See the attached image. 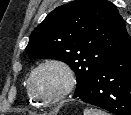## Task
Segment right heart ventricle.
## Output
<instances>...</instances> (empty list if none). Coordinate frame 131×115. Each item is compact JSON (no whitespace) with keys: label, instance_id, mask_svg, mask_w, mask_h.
Returning <instances> with one entry per match:
<instances>
[{"label":"right heart ventricle","instance_id":"obj_1","mask_svg":"<svg viewBox=\"0 0 131 115\" xmlns=\"http://www.w3.org/2000/svg\"><path fill=\"white\" fill-rule=\"evenodd\" d=\"M27 94H28V92H27ZM28 97H29V100H30L31 102H36L29 94H28ZM36 103H38V102H36Z\"/></svg>","mask_w":131,"mask_h":115}]
</instances>
